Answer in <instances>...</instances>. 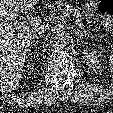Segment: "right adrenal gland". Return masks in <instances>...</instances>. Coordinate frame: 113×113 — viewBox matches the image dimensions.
I'll list each match as a JSON object with an SVG mask.
<instances>
[{
	"instance_id": "1",
	"label": "right adrenal gland",
	"mask_w": 113,
	"mask_h": 113,
	"mask_svg": "<svg viewBox=\"0 0 113 113\" xmlns=\"http://www.w3.org/2000/svg\"><path fill=\"white\" fill-rule=\"evenodd\" d=\"M41 38V36H33V40L31 41V44L36 45L39 42V39Z\"/></svg>"
}]
</instances>
